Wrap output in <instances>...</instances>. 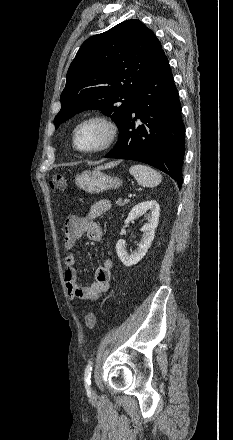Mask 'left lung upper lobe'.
<instances>
[{
    "label": "left lung upper lobe",
    "mask_w": 233,
    "mask_h": 440,
    "mask_svg": "<svg viewBox=\"0 0 233 440\" xmlns=\"http://www.w3.org/2000/svg\"><path fill=\"white\" fill-rule=\"evenodd\" d=\"M162 52L154 33L135 19L87 39L68 69L55 128L83 110L98 109L120 132L133 97Z\"/></svg>",
    "instance_id": "5c2ea615"
}]
</instances>
